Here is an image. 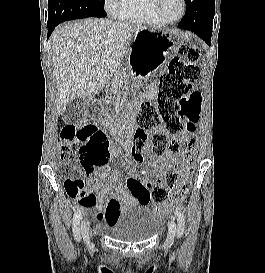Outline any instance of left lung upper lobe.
Returning a JSON list of instances; mask_svg holds the SVG:
<instances>
[{
    "mask_svg": "<svg viewBox=\"0 0 265 273\" xmlns=\"http://www.w3.org/2000/svg\"><path fill=\"white\" fill-rule=\"evenodd\" d=\"M186 5L188 6L191 3V0H185ZM214 7L209 8L204 17V22L206 25L212 27L213 24V18H214Z\"/></svg>",
    "mask_w": 265,
    "mask_h": 273,
    "instance_id": "obj_1",
    "label": "left lung upper lobe"
}]
</instances>
